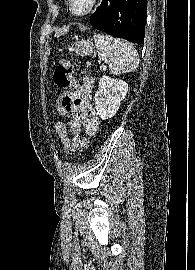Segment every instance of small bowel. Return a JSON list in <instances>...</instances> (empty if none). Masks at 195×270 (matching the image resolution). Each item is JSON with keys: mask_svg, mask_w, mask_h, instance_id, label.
Wrapping results in <instances>:
<instances>
[{"mask_svg": "<svg viewBox=\"0 0 195 270\" xmlns=\"http://www.w3.org/2000/svg\"><path fill=\"white\" fill-rule=\"evenodd\" d=\"M95 79L91 75H85L78 88L77 97L69 108L57 107V112L62 116L72 115L74 119L67 122L59 121L55 129L63 143L66 153H73L80 149L79 139L81 130L86 134L94 135L99 125V119L92 105V93ZM70 132V135H68Z\"/></svg>", "mask_w": 195, "mask_h": 270, "instance_id": "small-bowel-1", "label": "small bowel"}]
</instances>
